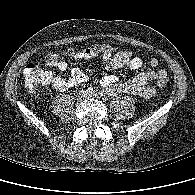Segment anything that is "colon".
<instances>
[{"mask_svg":"<svg viewBox=\"0 0 195 195\" xmlns=\"http://www.w3.org/2000/svg\"><path fill=\"white\" fill-rule=\"evenodd\" d=\"M112 47L108 44H97L91 49L85 50H94L99 53L111 51ZM65 55H74L77 54L75 49L70 48L64 53ZM60 56L58 54H50L46 57V63L49 66H53L58 60ZM24 77H25V86L29 91H35L39 87L48 83L51 73L41 67L38 62H30L26 65L24 69ZM169 76L167 73L160 75L157 80V85L159 87H164L169 83Z\"/></svg>","mask_w":195,"mask_h":195,"instance_id":"colon-1","label":"colon"}]
</instances>
